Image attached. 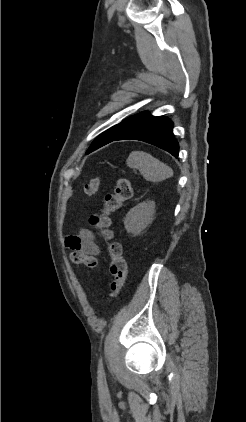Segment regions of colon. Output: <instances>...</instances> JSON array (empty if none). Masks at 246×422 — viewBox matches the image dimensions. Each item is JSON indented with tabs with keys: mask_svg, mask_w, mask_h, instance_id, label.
Here are the masks:
<instances>
[{
	"mask_svg": "<svg viewBox=\"0 0 246 422\" xmlns=\"http://www.w3.org/2000/svg\"><path fill=\"white\" fill-rule=\"evenodd\" d=\"M99 188V179L94 178L85 186L88 195H94ZM133 194L131 182L127 178H120L117 181L115 190L104 198V203L98 213L89 217V224L93 227L98 237L106 243L107 254L110 258V272L113 276L111 291L116 298L122 291L127 277V263L122 255L121 245L113 240L111 226V215L119 210ZM71 259L74 263L85 264L93 268L97 261L94 257L85 255L79 251H72Z\"/></svg>",
	"mask_w": 246,
	"mask_h": 422,
	"instance_id": "colon-1",
	"label": "colon"
}]
</instances>
